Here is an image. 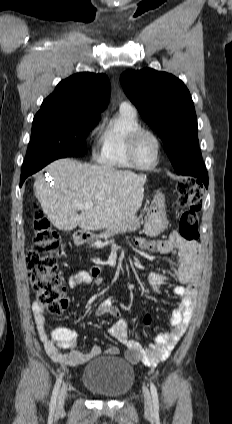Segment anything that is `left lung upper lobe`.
<instances>
[{"label":"left lung upper lobe","mask_w":232,"mask_h":424,"mask_svg":"<svg viewBox=\"0 0 232 424\" xmlns=\"http://www.w3.org/2000/svg\"><path fill=\"white\" fill-rule=\"evenodd\" d=\"M125 94L156 130L177 174L201 156L191 95L175 76L145 68L121 77Z\"/></svg>","instance_id":"5c2ea615"}]
</instances>
